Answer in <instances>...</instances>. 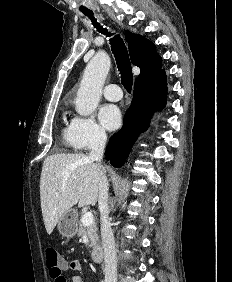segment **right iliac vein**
<instances>
[{
  "mask_svg": "<svg viewBox=\"0 0 232 282\" xmlns=\"http://www.w3.org/2000/svg\"><path fill=\"white\" fill-rule=\"evenodd\" d=\"M107 282H116V281L108 280Z\"/></svg>",
  "mask_w": 232,
  "mask_h": 282,
  "instance_id": "right-iliac-vein-1",
  "label": "right iliac vein"
}]
</instances>
